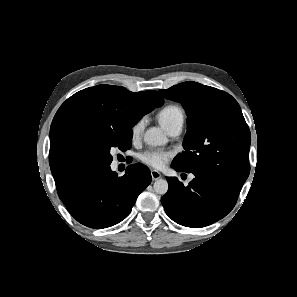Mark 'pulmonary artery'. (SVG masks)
Masks as SVG:
<instances>
[{
  "instance_id": "obj_1",
  "label": "pulmonary artery",
  "mask_w": 297,
  "mask_h": 297,
  "mask_svg": "<svg viewBox=\"0 0 297 297\" xmlns=\"http://www.w3.org/2000/svg\"><path fill=\"white\" fill-rule=\"evenodd\" d=\"M181 130H182V124H179V125H176L174 127H172L168 133L171 135V136H177L181 133Z\"/></svg>"
}]
</instances>
